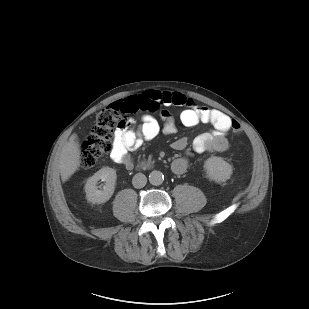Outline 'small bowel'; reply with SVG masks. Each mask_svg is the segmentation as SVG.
<instances>
[{"instance_id":"1","label":"small bowel","mask_w":309,"mask_h":309,"mask_svg":"<svg viewBox=\"0 0 309 309\" xmlns=\"http://www.w3.org/2000/svg\"><path fill=\"white\" fill-rule=\"evenodd\" d=\"M131 112L145 110L148 114L142 117L138 128L132 125L115 132L111 159L127 168L133 166L130 151L139 149L144 143L153 140L162 130L166 134H174L177 131L174 119L163 106H186L181 112L180 119L183 125L193 127L199 122L210 123L213 130L198 135L192 142V148L196 153L224 152L229 143L227 134L232 127V120L223 112L197 105L183 94L177 92H161L149 90L142 94L126 99ZM162 121V127L160 125ZM187 139L178 138L173 143L176 150H184ZM189 165L187 157L176 159L172 163V173L180 175Z\"/></svg>"}]
</instances>
